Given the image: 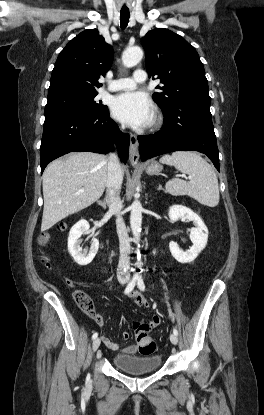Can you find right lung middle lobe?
Listing matches in <instances>:
<instances>
[{
	"mask_svg": "<svg viewBox=\"0 0 264 415\" xmlns=\"http://www.w3.org/2000/svg\"><path fill=\"white\" fill-rule=\"evenodd\" d=\"M98 93L94 92H66L47 97L45 117L65 112L97 113L108 109L101 101H96Z\"/></svg>",
	"mask_w": 264,
	"mask_h": 415,
	"instance_id": "dd1d6c3e",
	"label": "right lung middle lobe"
}]
</instances>
